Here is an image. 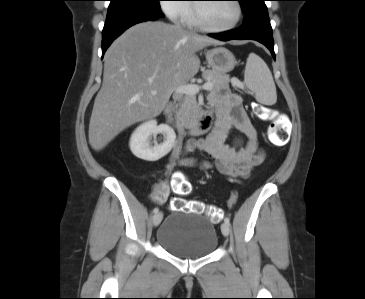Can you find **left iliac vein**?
<instances>
[{
    "mask_svg": "<svg viewBox=\"0 0 365 299\" xmlns=\"http://www.w3.org/2000/svg\"><path fill=\"white\" fill-rule=\"evenodd\" d=\"M221 231L224 236H228L230 233V225L224 222L221 225Z\"/></svg>",
    "mask_w": 365,
    "mask_h": 299,
    "instance_id": "obj_1",
    "label": "left iliac vein"
}]
</instances>
